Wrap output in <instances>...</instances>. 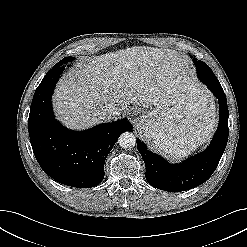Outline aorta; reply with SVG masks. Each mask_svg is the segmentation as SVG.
<instances>
[{"instance_id": "762f6f07", "label": "aorta", "mask_w": 247, "mask_h": 247, "mask_svg": "<svg viewBox=\"0 0 247 247\" xmlns=\"http://www.w3.org/2000/svg\"><path fill=\"white\" fill-rule=\"evenodd\" d=\"M118 143L124 149H131L136 145V137L132 132H124L119 136Z\"/></svg>"}]
</instances>
